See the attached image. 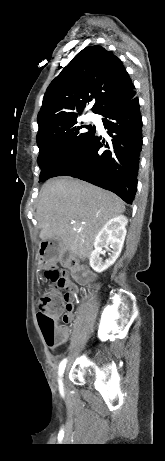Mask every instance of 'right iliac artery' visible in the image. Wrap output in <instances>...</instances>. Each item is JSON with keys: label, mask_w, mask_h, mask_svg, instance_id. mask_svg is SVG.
<instances>
[{"label": "right iliac artery", "mask_w": 165, "mask_h": 461, "mask_svg": "<svg viewBox=\"0 0 165 461\" xmlns=\"http://www.w3.org/2000/svg\"><path fill=\"white\" fill-rule=\"evenodd\" d=\"M65 366H66V360L62 361L59 365V375L61 376L64 372V369H65ZM60 387L62 388V382L60 380Z\"/></svg>", "instance_id": "obj_1"}]
</instances>
